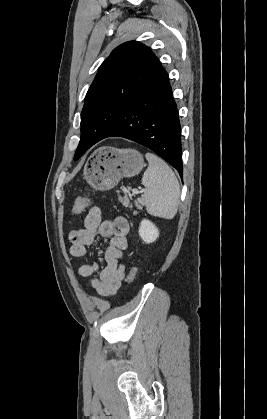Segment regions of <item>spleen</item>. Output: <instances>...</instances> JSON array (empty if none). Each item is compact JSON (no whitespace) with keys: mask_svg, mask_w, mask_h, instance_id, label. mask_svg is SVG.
<instances>
[{"mask_svg":"<svg viewBox=\"0 0 267 419\" xmlns=\"http://www.w3.org/2000/svg\"><path fill=\"white\" fill-rule=\"evenodd\" d=\"M145 157L149 163L142 177L146 210L153 216L172 219L177 213L180 200L179 182L161 158L150 152Z\"/></svg>","mask_w":267,"mask_h":419,"instance_id":"3e777b00","label":"spleen"}]
</instances>
